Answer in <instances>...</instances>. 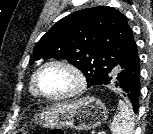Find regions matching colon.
Wrapping results in <instances>:
<instances>
[{"label":"colon","instance_id":"obj_1","mask_svg":"<svg viewBox=\"0 0 153 134\" xmlns=\"http://www.w3.org/2000/svg\"><path fill=\"white\" fill-rule=\"evenodd\" d=\"M53 134H64V133L62 130L57 129L53 132Z\"/></svg>","mask_w":153,"mask_h":134}]
</instances>
